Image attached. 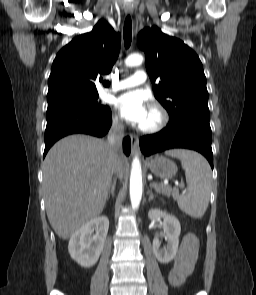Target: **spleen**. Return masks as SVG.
I'll return each mask as SVG.
<instances>
[{
	"label": "spleen",
	"instance_id": "spleen-1",
	"mask_svg": "<svg viewBox=\"0 0 256 295\" xmlns=\"http://www.w3.org/2000/svg\"><path fill=\"white\" fill-rule=\"evenodd\" d=\"M166 154L179 158L185 170L188 191L180 196L179 208L194 218H201L209 204L212 184L211 169L207 160L190 150H170Z\"/></svg>",
	"mask_w": 256,
	"mask_h": 295
}]
</instances>
